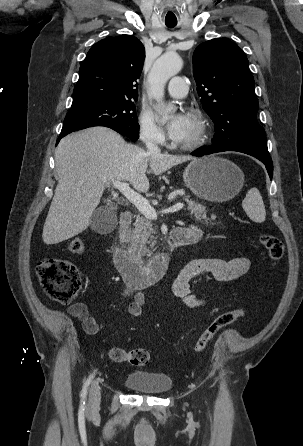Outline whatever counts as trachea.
I'll use <instances>...</instances> for the list:
<instances>
[{"label": "trachea", "instance_id": "1", "mask_svg": "<svg viewBox=\"0 0 303 446\" xmlns=\"http://www.w3.org/2000/svg\"><path fill=\"white\" fill-rule=\"evenodd\" d=\"M166 26L168 27V28H173V27H175L176 26V23H166Z\"/></svg>", "mask_w": 303, "mask_h": 446}]
</instances>
